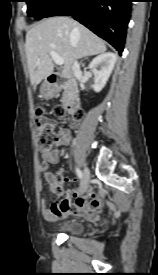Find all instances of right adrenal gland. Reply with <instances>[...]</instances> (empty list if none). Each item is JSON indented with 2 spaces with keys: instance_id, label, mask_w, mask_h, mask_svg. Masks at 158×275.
<instances>
[{
  "instance_id": "right-adrenal-gland-1",
  "label": "right adrenal gland",
  "mask_w": 158,
  "mask_h": 275,
  "mask_svg": "<svg viewBox=\"0 0 158 275\" xmlns=\"http://www.w3.org/2000/svg\"><path fill=\"white\" fill-rule=\"evenodd\" d=\"M85 59H88V57H85ZM82 66H84V63L82 64Z\"/></svg>"
}]
</instances>
